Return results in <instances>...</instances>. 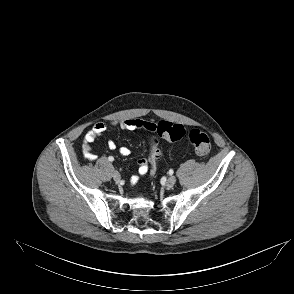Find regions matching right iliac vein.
I'll return each mask as SVG.
<instances>
[{"label": "right iliac vein", "mask_w": 294, "mask_h": 294, "mask_svg": "<svg viewBox=\"0 0 294 294\" xmlns=\"http://www.w3.org/2000/svg\"><path fill=\"white\" fill-rule=\"evenodd\" d=\"M112 177H113L114 181L117 183L120 182V180H121V175L117 171L113 172Z\"/></svg>", "instance_id": "63e3f726"}]
</instances>
